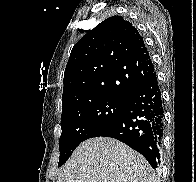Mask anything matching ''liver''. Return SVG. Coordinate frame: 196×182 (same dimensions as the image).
I'll list each match as a JSON object with an SVG mask.
<instances>
[{
    "label": "liver",
    "instance_id": "6515ba94",
    "mask_svg": "<svg viewBox=\"0 0 196 182\" xmlns=\"http://www.w3.org/2000/svg\"><path fill=\"white\" fill-rule=\"evenodd\" d=\"M57 182H156V177L141 154L116 139L96 137L76 148Z\"/></svg>",
    "mask_w": 196,
    "mask_h": 182
}]
</instances>
